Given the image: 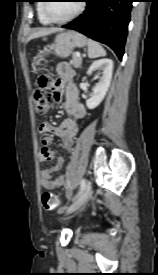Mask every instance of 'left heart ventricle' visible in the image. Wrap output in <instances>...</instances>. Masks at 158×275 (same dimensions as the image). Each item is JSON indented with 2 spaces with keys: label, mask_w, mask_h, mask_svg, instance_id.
Masks as SVG:
<instances>
[{
  "label": "left heart ventricle",
  "mask_w": 158,
  "mask_h": 275,
  "mask_svg": "<svg viewBox=\"0 0 158 275\" xmlns=\"http://www.w3.org/2000/svg\"><path fill=\"white\" fill-rule=\"evenodd\" d=\"M78 6L79 1H51L48 12L54 18L63 19L73 14Z\"/></svg>",
  "instance_id": "1"
}]
</instances>
